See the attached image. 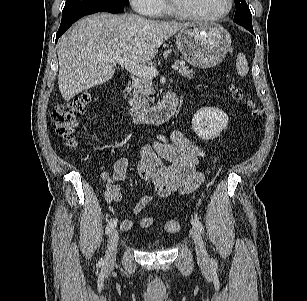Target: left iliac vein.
I'll use <instances>...</instances> for the list:
<instances>
[{
    "instance_id": "4c4485c4",
    "label": "left iliac vein",
    "mask_w": 307,
    "mask_h": 301,
    "mask_svg": "<svg viewBox=\"0 0 307 301\" xmlns=\"http://www.w3.org/2000/svg\"><path fill=\"white\" fill-rule=\"evenodd\" d=\"M191 237L195 244V251L197 255V259L201 264H205L209 260L208 253L206 251L202 236L197 228L193 227L190 230Z\"/></svg>"
}]
</instances>
